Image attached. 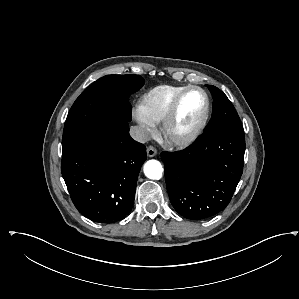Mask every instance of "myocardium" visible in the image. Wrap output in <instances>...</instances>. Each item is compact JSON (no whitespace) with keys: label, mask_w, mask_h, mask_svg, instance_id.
<instances>
[{"label":"myocardium","mask_w":299,"mask_h":299,"mask_svg":"<svg viewBox=\"0 0 299 299\" xmlns=\"http://www.w3.org/2000/svg\"><path fill=\"white\" fill-rule=\"evenodd\" d=\"M191 91H198L204 98V110L198 122L187 132L176 134L174 131L175 122L184 97ZM210 112V99L207 92L199 86H187L172 102L162 124V133L165 141L174 147H185L193 143L206 126Z\"/></svg>","instance_id":"obj_1"}]
</instances>
